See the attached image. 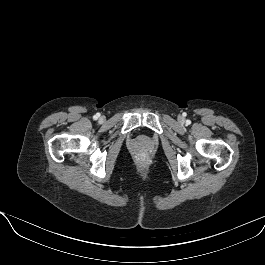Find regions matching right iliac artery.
Here are the masks:
<instances>
[{"mask_svg":"<svg viewBox=\"0 0 265 265\" xmlns=\"http://www.w3.org/2000/svg\"><path fill=\"white\" fill-rule=\"evenodd\" d=\"M99 116H100L99 114H96V115H94L93 118L96 120V119H98Z\"/></svg>","mask_w":265,"mask_h":265,"instance_id":"82829eb1","label":"right iliac artery"}]
</instances>
